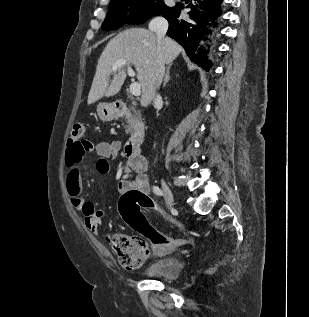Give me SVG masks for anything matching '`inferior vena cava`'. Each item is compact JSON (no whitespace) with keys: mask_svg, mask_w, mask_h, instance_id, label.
<instances>
[{"mask_svg":"<svg viewBox=\"0 0 309 317\" xmlns=\"http://www.w3.org/2000/svg\"><path fill=\"white\" fill-rule=\"evenodd\" d=\"M149 29L151 31L155 32L156 36H157V40L159 42H162L165 39V35H166L167 30H168V22L166 19H164L162 17H156L150 22ZM164 74H165V63L163 62L162 55L160 54L158 57V67L156 70V78H155L156 89L159 88V86L162 82V79L164 77ZM153 100H154V104H157V103L162 101V98L157 93L154 95Z\"/></svg>","mask_w":309,"mask_h":317,"instance_id":"602c4592","label":"inferior vena cava"}]
</instances>
